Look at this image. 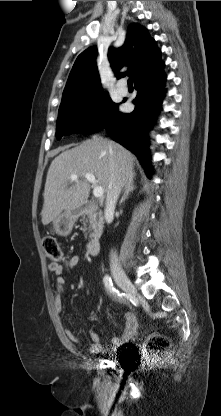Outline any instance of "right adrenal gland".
Segmentation results:
<instances>
[{
	"instance_id": "obj_1",
	"label": "right adrenal gland",
	"mask_w": 221,
	"mask_h": 416,
	"mask_svg": "<svg viewBox=\"0 0 221 416\" xmlns=\"http://www.w3.org/2000/svg\"><path fill=\"white\" fill-rule=\"evenodd\" d=\"M135 190V186L133 183L129 184L126 188H125V193L122 196L119 204L121 205L126 199H128L130 193H132Z\"/></svg>"
}]
</instances>
